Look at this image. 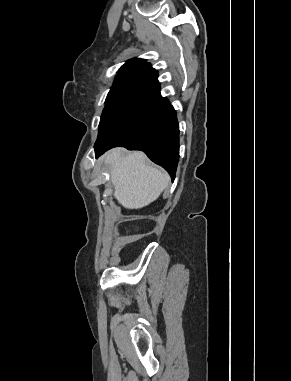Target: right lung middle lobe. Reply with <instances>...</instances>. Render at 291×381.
<instances>
[{
  "label": "right lung middle lobe",
  "instance_id": "dd1d6c3e",
  "mask_svg": "<svg viewBox=\"0 0 291 381\" xmlns=\"http://www.w3.org/2000/svg\"><path fill=\"white\" fill-rule=\"evenodd\" d=\"M141 78L127 80L111 88L101 115L96 142H115L120 136V124L133 100Z\"/></svg>",
  "mask_w": 291,
  "mask_h": 381
}]
</instances>
